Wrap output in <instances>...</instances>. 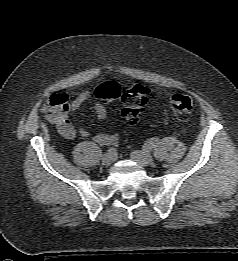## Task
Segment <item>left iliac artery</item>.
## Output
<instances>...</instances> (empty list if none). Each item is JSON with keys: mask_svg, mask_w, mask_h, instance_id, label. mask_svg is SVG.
Listing matches in <instances>:
<instances>
[{"mask_svg": "<svg viewBox=\"0 0 238 261\" xmlns=\"http://www.w3.org/2000/svg\"><path fill=\"white\" fill-rule=\"evenodd\" d=\"M158 142H159V138H151V139H149L146 143H145V145L143 146V149L144 150H151V149H153L154 147H156V145L158 144Z\"/></svg>", "mask_w": 238, "mask_h": 261, "instance_id": "obj_1", "label": "left iliac artery"}]
</instances>
